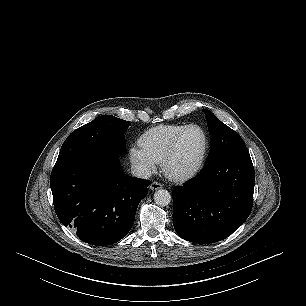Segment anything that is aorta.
Returning a JSON list of instances; mask_svg holds the SVG:
<instances>
[{"mask_svg": "<svg viewBox=\"0 0 306 306\" xmlns=\"http://www.w3.org/2000/svg\"><path fill=\"white\" fill-rule=\"evenodd\" d=\"M154 201L157 205L166 206L171 201V195L167 190L159 189L154 193Z\"/></svg>", "mask_w": 306, "mask_h": 306, "instance_id": "obj_1", "label": "aorta"}]
</instances>
